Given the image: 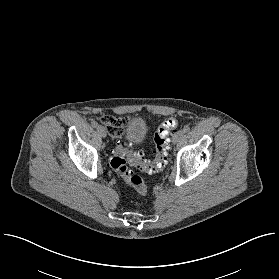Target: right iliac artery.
Returning <instances> with one entry per match:
<instances>
[{
    "label": "right iliac artery",
    "instance_id": "right-iliac-artery-1",
    "mask_svg": "<svg viewBox=\"0 0 279 279\" xmlns=\"http://www.w3.org/2000/svg\"><path fill=\"white\" fill-rule=\"evenodd\" d=\"M91 125H92V127H94V128H96V127L99 126L98 123H97L96 121H92V122H91Z\"/></svg>",
    "mask_w": 279,
    "mask_h": 279
}]
</instances>
